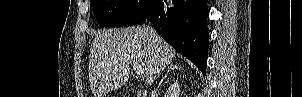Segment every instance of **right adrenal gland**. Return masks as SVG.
I'll return each mask as SVG.
<instances>
[{"mask_svg":"<svg viewBox=\"0 0 302 97\" xmlns=\"http://www.w3.org/2000/svg\"><path fill=\"white\" fill-rule=\"evenodd\" d=\"M181 67L177 64H173L171 63L169 66H168V70H167V73L164 75V77L161 79L160 83H159V87L162 85L163 81L167 78L168 74L171 72V71H174V70H180Z\"/></svg>","mask_w":302,"mask_h":97,"instance_id":"1","label":"right adrenal gland"}]
</instances>
